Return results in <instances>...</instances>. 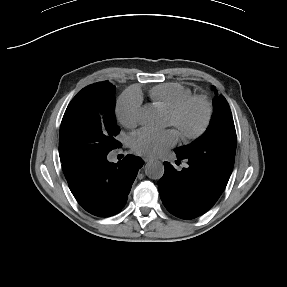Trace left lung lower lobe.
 Instances as JSON below:
<instances>
[{
	"label": "left lung lower lobe",
	"mask_w": 287,
	"mask_h": 287,
	"mask_svg": "<svg viewBox=\"0 0 287 287\" xmlns=\"http://www.w3.org/2000/svg\"><path fill=\"white\" fill-rule=\"evenodd\" d=\"M178 159H186L188 167L176 171L164 162L165 173L158 182L161 200L167 210L182 219L196 218L208 211L218 200L226 184L215 179L212 171L175 152Z\"/></svg>",
	"instance_id": "obj_1"
}]
</instances>
